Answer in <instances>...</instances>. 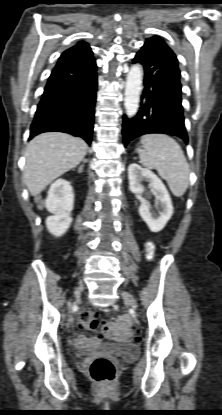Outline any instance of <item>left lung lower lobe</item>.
Returning a JSON list of instances; mask_svg holds the SVG:
<instances>
[{
	"instance_id": "0a47b994",
	"label": "left lung lower lobe",
	"mask_w": 222,
	"mask_h": 415,
	"mask_svg": "<svg viewBox=\"0 0 222 415\" xmlns=\"http://www.w3.org/2000/svg\"><path fill=\"white\" fill-rule=\"evenodd\" d=\"M133 63L143 65L144 89L140 111L131 119L123 117L124 147L136 137L150 133L173 135L187 143L180 70L173 51L159 37L149 38Z\"/></svg>"
}]
</instances>
